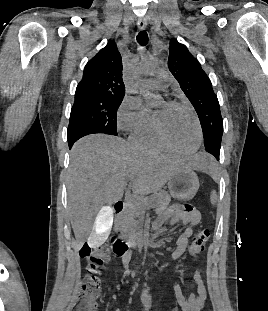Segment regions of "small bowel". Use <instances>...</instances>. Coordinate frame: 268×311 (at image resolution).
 <instances>
[{"instance_id":"obj_1","label":"small bowel","mask_w":268,"mask_h":311,"mask_svg":"<svg viewBox=\"0 0 268 311\" xmlns=\"http://www.w3.org/2000/svg\"><path fill=\"white\" fill-rule=\"evenodd\" d=\"M200 221V214L193 209L190 205L184 207H173L162 217L158 218L154 222V229L159 230L164 225H173L177 222H181L185 229L176 241V248L172 253L174 260L179 259L186 251L189 241L193 236V227H195ZM131 259V251L122 256L123 265L126 272H128L129 262ZM193 280L196 284L197 290L192 293L187 299L182 294L179 285L175 286V296L177 303L182 311H200L206 303L207 291L206 281L203 273L196 270L193 274ZM141 301L145 309H149L151 306V295L148 289H145L142 293Z\"/></svg>"}]
</instances>
